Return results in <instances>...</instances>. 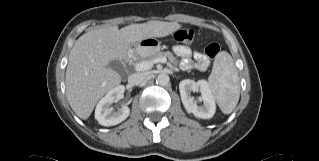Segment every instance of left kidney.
I'll list each match as a JSON object with an SVG mask.
<instances>
[{"label":"left kidney","mask_w":319,"mask_h":161,"mask_svg":"<svg viewBox=\"0 0 319 161\" xmlns=\"http://www.w3.org/2000/svg\"><path fill=\"white\" fill-rule=\"evenodd\" d=\"M179 90L182 103L188 113L202 119H209L213 117L216 111L215 100L212 95L211 89L205 80L185 79L179 83ZM199 91L201 93L200 100L203 101L202 105H198L191 96V92Z\"/></svg>","instance_id":"left-kidney-1"}]
</instances>
